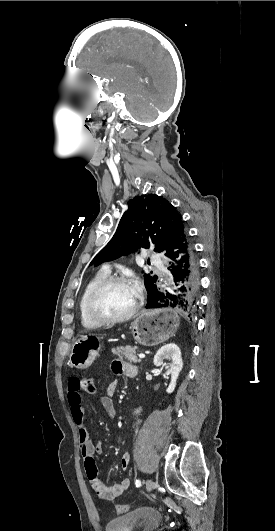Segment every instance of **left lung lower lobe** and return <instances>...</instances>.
Masks as SVG:
<instances>
[{"label": "left lung lower lobe", "mask_w": 275, "mask_h": 531, "mask_svg": "<svg viewBox=\"0 0 275 531\" xmlns=\"http://www.w3.org/2000/svg\"><path fill=\"white\" fill-rule=\"evenodd\" d=\"M165 255L170 259L168 270L172 282L165 291H158L146 308H176L188 317L198 309L200 270L193 243L186 229L180 227Z\"/></svg>", "instance_id": "1"}]
</instances>
